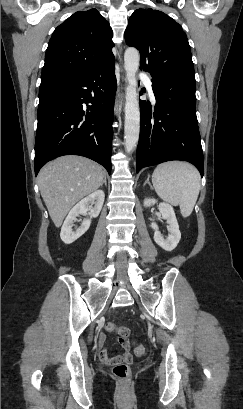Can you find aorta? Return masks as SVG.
<instances>
[{
    "mask_svg": "<svg viewBox=\"0 0 243 409\" xmlns=\"http://www.w3.org/2000/svg\"><path fill=\"white\" fill-rule=\"evenodd\" d=\"M140 54L137 49L129 47L124 54L127 87L125 102L124 139L125 149L130 153L136 147L140 132V107L137 92L136 73L139 69Z\"/></svg>",
    "mask_w": 243,
    "mask_h": 409,
    "instance_id": "762f6f07",
    "label": "aorta"
}]
</instances>
